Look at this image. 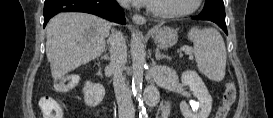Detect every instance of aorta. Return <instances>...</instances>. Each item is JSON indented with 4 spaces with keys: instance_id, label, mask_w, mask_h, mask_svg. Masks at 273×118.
Segmentation results:
<instances>
[{
    "instance_id": "aorta-1",
    "label": "aorta",
    "mask_w": 273,
    "mask_h": 118,
    "mask_svg": "<svg viewBox=\"0 0 273 118\" xmlns=\"http://www.w3.org/2000/svg\"><path fill=\"white\" fill-rule=\"evenodd\" d=\"M131 56H132V90L134 95L139 101V107L142 114L146 111L143 106V101L141 100V89L143 82V70L146 65V52L145 46L140 38V36L135 35L131 43Z\"/></svg>"
}]
</instances>
